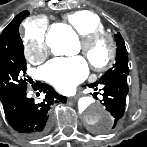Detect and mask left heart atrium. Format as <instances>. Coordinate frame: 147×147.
<instances>
[{
    "label": "left heart atrium",
    "instance_id": "39dd6f15",
    "mask_svg": "<svg viewBox=\"0 0 147 147\" xmlns=\"http://www.w3.org/2000/svg\"><path fill=\"white\" fill-rule=\"evenodd\" d=\"M88 65L83 57L57 58L42 68L44 79L62 92H67L88 75Z\"/></svg>",
    "mask_w": 147,
    "mask_h": 147
}]
</instances>
